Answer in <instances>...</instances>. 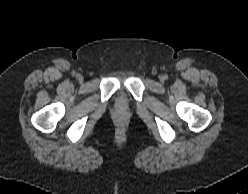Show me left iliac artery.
<instances>
[{"instance_id": "44dca946", "label": "left iliac artery", "mask_w": 248, "mask_h": 194, "mask_svg": "<svg viewBox=\"0 0 248 194\" xmlns=\"http://www.w3.org/2000/svg\"><path fill=\"white\" fill-rule=\"evenodd\" d=\"M163 78L166 80L168 79V75H164Z\"/></svg>"}]
</instances>
